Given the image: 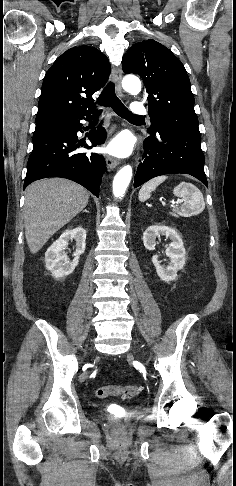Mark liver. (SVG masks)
Wrapping results in <instances>:
<instances>
[{
  "label": "liver",
  "mask_w": 236,
  "mask_h": 486,
  "mask_svg": "<svg viewBox=\"0 0 236 486\" xmlns=\"http://www.w3.org/2000/svg\"><path fill=\"white\" fill-rule=\"evenodd\" d=\"M89 193L63 178L36 181L26 189L25 237L30 252L37 253L49 238L88 204Z\"/></svg>",
  "instance_id": "obj_1"
}]
</instances>
